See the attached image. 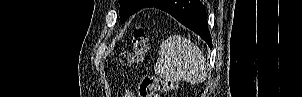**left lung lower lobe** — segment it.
<instances>
[{
	"instance_id": "1",
	"label": "left lung lower lobe",
	"mask_w": 302,
	"mask_h": 97,
	"mask_svg": "<svg viewBox=\"0 0 302 97\" xmlns=\"http://www.w3.org/2000/svg\"><path fill=\"white\" fill-rule=\"evenodd\" d=\"M148 7L161 9L197 33L212 48L205 7L199 0H154Z\"/></svg>"
}]
</instances>
